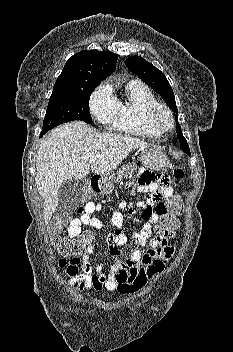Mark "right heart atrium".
Returning a JSON list of instances; mask_svg holds the SVG:
<instances>
[{
    "label": "right heart atrium",
    "mask_w": 233,
    "mask_h": 352,
    "mask_svg": "<svg viewBox=\"0 0 233 352\" xmlns=\"http://www.w3.org/2000/svg\"><path fill=\"white\" fill-rule=\"evenodd\" d=\"M89 108L98 123L108 129L116 128L119 101L109 84L103 83L93 91Z\"/></svg>",
    "instance_id": "d8ad5b80"
}]
</instances>
